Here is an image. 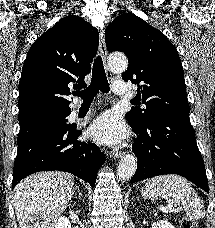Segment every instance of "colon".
Here are the masks:
<instances>
[{
  "mask_svg": "<svg viewBox=\"0 0 215 228\" xmlns=\"http://www.w3.org/2000/svg\"><path fill=\"white\" fill-rule=\"evenodd\" d=\"M181 228H197V223L191 219L185 218L182 221Z\"/></svg>",
  "mask_w": 215,
  "mask_h": 228,
  "instance_id": "5ec220e1",
  "label": "colon"
}]
</instances>
